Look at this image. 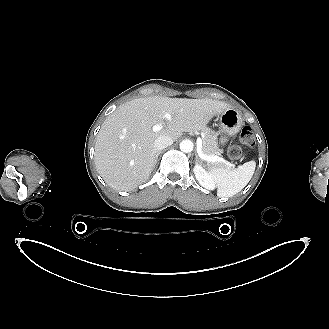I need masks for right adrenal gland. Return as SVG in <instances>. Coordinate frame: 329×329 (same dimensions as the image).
<instances>
[{"mask_svg":"<svg viewBox=\"0 0 329 329\" xmlns=\"http://www.w3.org/2000/svg\"><path fill=\"white\" fill-rule=\"evenodd\" d=\"M160 151L156 153V157H155V164L157 163V160H158V156L160 155Z\"/></svg>","mask_w":329,"mask_h":329,"instance_id":"right-adrenal-gland-1","label":"right adrenal gland"}]
</instances>
